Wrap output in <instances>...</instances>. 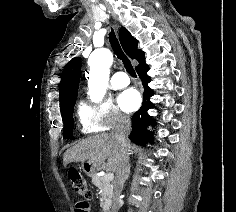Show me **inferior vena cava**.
<instances>
[{
  "mask_svg": "<svg viewBox=\"0 0 236 212\" xmlns=\"http://www.w3.org/2000/svg\"><path fill=\"white\" fill-rule=\"evenodd\" d=\"M131 131V121L128 116L119 115L114 126L112 135L117 139L122 147V157L120 164L116 171V177L114 179V194H113V212L120 206V194L122 187L128 178V174L130 171L128 164V135Z\"/></svg>",
  "mask_w": 236,
  "mask_h": 212,
  "instance_id": "inferior-vena-cava-1",
  "label": "inferior vena cava"
}]
</instances>
